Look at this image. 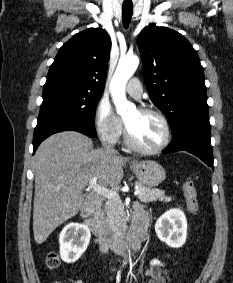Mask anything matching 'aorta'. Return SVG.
Wrapping results in <instances>:
<instances>
[{
  "mask_svg": "<svg viewBox=\"0 0 233 283\" xmlns=\"http://www.w3.org/2000/svg\"><path fill=\"white\" fill-rule=\"evenodd\" d=\"M139 65V58L136 55L121 57L116 71L110 83L111 96L117 113L121 116L135 109L133 103L126 98L125 87Z\"/></svg>",
  "mask_w": 233,
  "mask_h": 283,
  "instance_id": "aorta-1",
  "label": "aorta"
}]
</instances>
